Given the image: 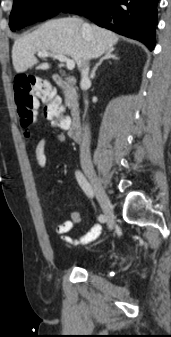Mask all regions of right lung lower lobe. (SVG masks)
Segmentation results:
<instances>
[{
  "mask_svg": "<svg viewBox=\"0 0 171 337\" xmlns=\"http://www.w3.org/2000/svg\"><path fill=\"white\" fill-rule=\"evenodd\" d=\"M158 0H76L61 11L83 15L97 25L155 46Z\"/></svg>",
  "mask_w": 171,
  "mask_h": 337,
  "instance_id": "1",
  "label": "right lung lower lobe"
}]
</instances>
